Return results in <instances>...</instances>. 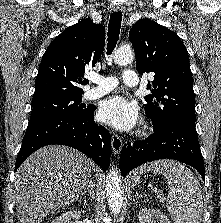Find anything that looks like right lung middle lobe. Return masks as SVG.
<instances>
[{"label":"right lung middle lobe","mask_w":221,"mask_h":223,"mask_svg":"<svg viewBox=\"0 0 221 223\" xmlns=\"http://www.w3.org/2000/svg\"><path fill=\"white\" fill-rule=\"evenodd\" d=\"M81 102L82 93L33 103L30 122L54 115L83 116L92 111V107L86 108Z\"/></svg>","instance_id":"right-lung-middle-lobe-1"}]
</instances>
